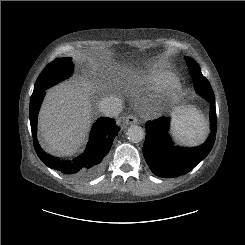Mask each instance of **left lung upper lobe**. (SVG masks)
I'll return each mask as SVG.
<instances>
[{"label":"left lung upper lobe","mask_w":245,"mask_h":245,"mask_svg":"<svg viewBox=\"0 0 245 245\" xmlns=\"http://www.w3.org/2000/svg\"><path fill=\"white\" fill-rule=\"evenodd\" d=\"M185 60L193 78L195 90L200 94L209 93L212 87L208 80L202 75L199 65L189 57H185Z\"/></svg>","instance_id":"obj_1"}]
</instances>
